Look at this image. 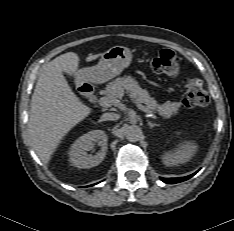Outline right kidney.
<instances>
[{"instance_id": "ca27d5eb", "label": "right kidney", "mask_w": 234, "mask_h": 231, "mask_svg": "<svg viewBox=\"0 0 234 231\" xmlns=\"http://www.w3.org/2000/svg\"><path fill=\"white\" fill-rule=\"evenodd\" d=\"M108 137L102 130H93L79 137L71 146L69 155L71 163L78 168H92L99 165L105 158ZM101 147L96 155H89L94 144Z\"/></svg>"}]
</instances>
